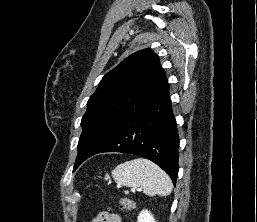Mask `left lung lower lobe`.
<instances>
[{"instance_id": "0a47b994", "label": "left lung lower lobe", "mask_w": 257, "mask_h": 222, "mask_svg": "<svg viewBox=\"0 0 257 222\" xmlns=\"http://www.w3.org/2000/svg\"><path fill=\"white\" fill-rule=\"evenodd\" d=\"M176 125L168 87L97 153L122 152L147 158L161 167L175 185L179 148Z\"/></svg>"}]
</instances>
